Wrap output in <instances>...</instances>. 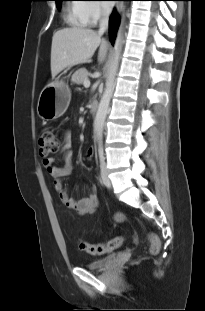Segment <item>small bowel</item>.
<instances>
[{"label": "small bowel", "instance_id": "1", "mask_svg": "<svg viewBox=\"0 0 205 311\" xmlns=\"http://www.w3.org/2000/svg\"><path fill=\"white\" fill-rule=\"evenodd\" d=\"M61 151L65 161L63 167H56L53 157L44 158L42 161L43 166L53 177V187L61 202L69 209L76 211L79 215L91 214L96 210L98 205V198L94 188L91 189V192L86 197L75 200L69 196L65 185V179L72 169V136L68 131L64 134ZM94 155L95 150L93 148L87 149L86 158L88 160L93 159Z\"/></svg>", "mask_w": 205, "mask_h": 311}]
</instances>
